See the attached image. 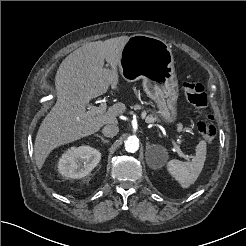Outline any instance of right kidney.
Instances as JSON below:
<instances>
[{
  "mask_svg": "<svg viewBox=\"0 0 246 246\" xmlns=\"http://www.w3.org/2000/svg\"><path fill=\"white\" fill-rule=\"evenodd\" d=\"M101 153L90 146L69 148L59 159V173L66 178L79 179L88 175L99 163Z\"/></svg>",
  "mask_w": 246,
  "mask_h": 246,
  "instance_id": "right-kidney-1",
  "label": "right kidney"
}]
</instances>
